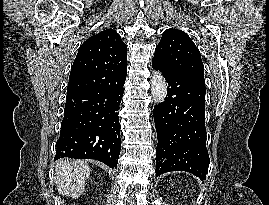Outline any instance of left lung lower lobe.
Masks as SVG:
<instances>
[{"instance_id": "obj_1", "label": "left lung lower lobe", "mask_w": 269, "mask_h": 205, "mask_svg": "<svg viewBox=\"0 0 269 205\" xmlns=\"http://www.w3.org/2000/svg\"><path fill=\"white\" fill-rule=\"evenodd\" d=\"M168 83L165 101L154 107L158 136L157 176L170 171H187L206 179L210 159L206 148L205 80L194 75L171 73L156 60Z\"/></svg>"}]
</instances>
